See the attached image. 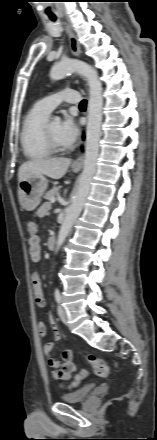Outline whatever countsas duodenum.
<instances>
[{
	"label": "duodenum",
	"instance_id": "obj_1",
	"mask_svg": "<svg viewBox=\"0 0 157 440\" xmlns=\"http://www.w3.org/2000/svg\"><path fill=\"white\" fill-rule=\"evenodd\" d=\"M55 244H56V237L55 236H50L48 238V247L50 249H52V248H54Z\"/></svg>",
	"mask_w": 157,
	"mask_h": 440
}]
</instances>
